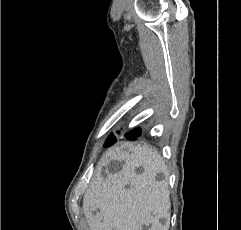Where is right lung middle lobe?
<instances>
[{"label":"right lung middle lobe","mask_w":241,"mask_h":230,"mask_svg":"<svg viewBox=\"0 0 241 230\" xmlns=\"http://www.w3.org/2000/svg\"><path fill=\"white\" fill-rule=\"evenodd\" d=\"M138 136H139V135L134 134V133H132V132L126 133V135H125V137H126L127 139H129V140H135V139H137ZM116 141H117V138H116L113 134H111V135L107 138V141H106L104 147H108V146L114 144Z\"/></svg>","instance_id":"obj_1"}]
</instances>
